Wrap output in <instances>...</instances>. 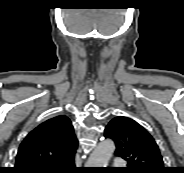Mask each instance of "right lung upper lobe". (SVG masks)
<instances>
[{
    "label": "right lung upper lobe",
    "mask_w": 184,
    "mask_h": 173,
    "mask_svg": "<svg viewBox=\"0 0 184 173\" xmlns=\"http://www.w3.org/2000/svg\"><path fill=\"white\" fill-rule=\"evenodd\" d=\"M78 141L71 121L53 117L31 131L21 143L14 173H45L74 160Z\"/></svg>",
    "instance_id": "right-lung-upper-lobe-1"
}]
</instances>
